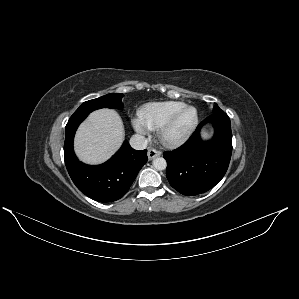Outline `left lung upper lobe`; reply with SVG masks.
I'll use <instances>...</instances> for the list:
<instances>
[{
  "mask_svg": "<svg viewBox=\"0 0 299 299\" xmlns=\"http://www.w3.org/2000/svg\"><path fill=\"white\" fill-rule=\"evenodd\" d=\"M213 111L214 113H223V111L217 105H215Z\"/></svg>",
  "mask_w": 299,
  "mask_h": 299,
  "instance_id": "left-lung-upper-lobe-1",
  "label": "left lung upper lobe"
}]
</instances>
